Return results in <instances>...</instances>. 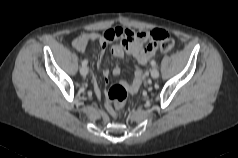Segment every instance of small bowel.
Returning <instances> with one entry per match:
<instances>
[{"label":"small bowel","instance_id":"1","mask_svg":"<svg viewBox=\"0 0 238 158\" xmlns=\"http://www.w3.org/2000/svg\"><path fill=\"white\" fill-rule=\"evenodd\" d=\"M167 35V32L161 29L134 31L128 28L117 27L106 30L104 33L85 32L72 41V46L80 52H84L90 43L98 42L100 53L98 62L101 63L106 56L107 48L113 40L119 43L112 46L111 54L116 58H123L125 54L131 55L139 64H146L158 51L160 36ZM148 44L145 45V43ZM101 73L106 81L109 71L101 68ZM114 74H119L120 69L115 67ZM143 78L140 69H136L134 78L129 84V89L134 92L138 88ZM93 85L98 97L103 96V87L96 77H93Z\"/></svg>","mask_w":238,"mask_h":158}]
</instances>
